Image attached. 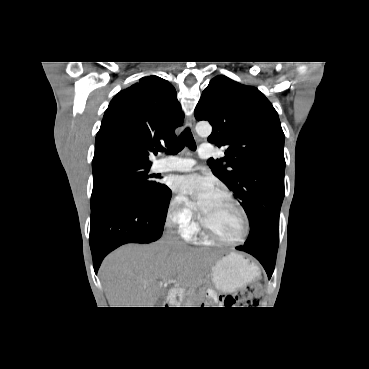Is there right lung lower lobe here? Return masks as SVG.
<instances>
[{
  "label": "right lung lower lobe",
  "instance_id": "right-lung-lower-lobe-1",
  "mask_svg": "<svg viewBox=\"0 0 369 369\" xmlns=\"http://www.w3.org/2000/svg\"><path fill=\"white\" fill-rule=\"evenodd\" d=\"M171 190L142 199L129 191L112 192L91 206L90 248L97 273L104 257L126 243H150L162 236Z\"/></svg>",
  "mask_w": 369,
  "mask_h": 369
}]
</instances>
